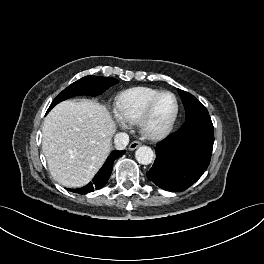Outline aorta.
<instances>
[{"instance_id": "762f6f07", "label": "aorta", "mask_w": 264, "mask_h": 264, "mask_svg": "<svg viewBox=\"0 0 264 264\" xmlns=\"http://www.w3.org/2000/svg\"><path fill=\"white\" fill-rule=\"evenodd\" d=\"M135 158L141 164H150L154 159L153 150L148 146H141L136 150Z\"/></svg>"}]
</instances>
